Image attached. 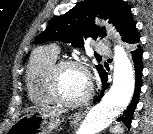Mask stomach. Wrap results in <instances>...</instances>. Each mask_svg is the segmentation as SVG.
<instances>
[{
  "mask_svg": "<svg viewBox=\"0 0 153 134\" xmlns=\"http://www.w3.org/2000/svg\"><path fill=\"white\" fill-rule=\"evenodd\" d=\"M79 121V114H75L72 123ZM60 117H51L39 110L26 113L10 128V134H53L60 126Z\"/></svg>",
  "mask_w": 153,
  "mask_h": 134,
  "instance_id": "stomach-1",
  "label": "stomach"
}]
</instances>
